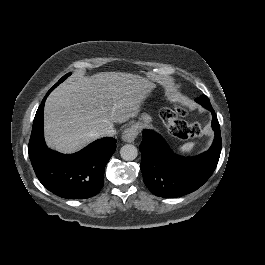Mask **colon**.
Listing matches in <instances>:
<instances>
[{"label": "colon", "instance_id": "5ec220e1", "mask_svg": "<svg viewBox=\"0 0 265 265\" xmlns=\"http://www.w3.org/2000/svg\"><path fill=\"white\" fill-rule=\"evenodd\" d=\"M185 111L182 107L167 108L161 112V117L166 123L170 132L181 139L195 137L203 132V126L200 123H187L183 118Z\"/></svg>", "mask_w": 265, "mask_h": 265}]
</instances>
